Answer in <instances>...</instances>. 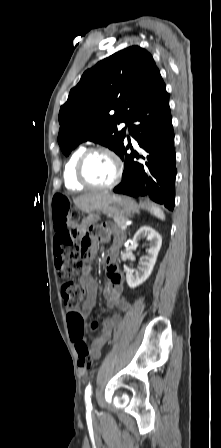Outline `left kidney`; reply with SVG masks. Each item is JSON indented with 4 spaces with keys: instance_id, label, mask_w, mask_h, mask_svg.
Wrapping results in <instances>:
<instances>
[{
    "instance_id": "1",
    "label": "left kidney",
    "mask_w": 221,
    "mask_h": 448,
    "mask_svg": "<svg viewBox=\"0 0 221 448\" xmlns=\"http://www.w3.org/2000/svg\"><path fill=\"white\" fill-rule=\"evenodd\" d=\"M144 237L150 241V247L147 250V255L140 262L137 270L134 273L130 271L126 272V281L130 288H135L141 285L150 276L162 245L160 234L149 226L140 227L133 237L132 244L137 246L138 241Z\"/></svg>"
}]
</instances>
